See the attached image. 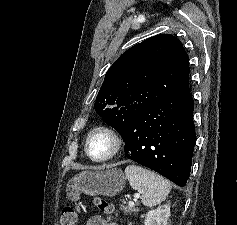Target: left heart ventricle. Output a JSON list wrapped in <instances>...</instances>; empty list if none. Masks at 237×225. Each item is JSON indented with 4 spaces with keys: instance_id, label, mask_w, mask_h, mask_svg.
Masks as SVG:
<instances>
[{
    "instance_id": "left-heart-ventricle-1",
    "label": "left heart ventricle",
    "mask_w": 237,
    "mask_h": 225,
    "mask_svg": "<svg viewBox=\"0 0 237 225\" xmlns=\"http://www.w3.org/2000/svg\"><path fill=\"white\" fill-rule=\"evenodd\" d=\"M110 149V141L103 135L94 137L90 144L91 154L95 157L105 155Z\"/></svg>"
}]
</instances>
